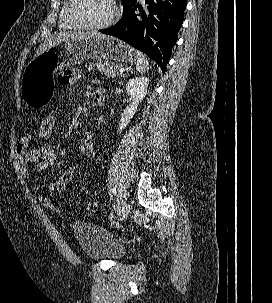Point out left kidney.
I'll return each instance as SVG.
<instances>
[{
    "instance_id": "obj_1",
    "label": "left kidney",
    "mask_w": 272,
    "mask_h": 303,
    "mask_svg": "<svg viewBox=\"0 0 272 303\" xmlns=\"http://www.w3.org/2000/svg\"><path fill=\"white\" fill-rule=\"evenodd\" d=\"M149 79L147 77H133L126 83V92L130 96L131 103L124 109L117 132L121 133L137 111L139 103L147 94Z\"/></svg>"
}]
</instances>
